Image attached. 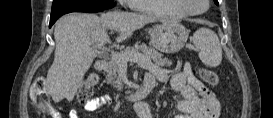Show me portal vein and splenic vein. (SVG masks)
<instances>
[{"label": "portal vein and splenic vein", "instance_id": "obj_1", "mask_svg": "<svg viewBox=\"0 0 273 118\" xmlns=\"http://www.w3.org/2000/svg\"><path fill=\"white\" fill-rule=\"evenodd\" d=\"M103 43H94L93 46L98 48V49H102L104 50V47L102 46ZM114 56H120V53H113ZM122 59L125 61V62H136L138 63L139 65L143 66L144 62L146 60H148V57L147 56H144L138 52H127L125 53L124 55H122Z\"/></svg>", "mask_w": 273, "mask_h": 118}]
</instances>
